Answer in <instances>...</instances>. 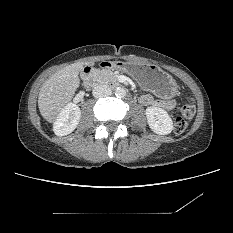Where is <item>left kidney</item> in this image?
Returning <instances> with one entry per match:
<instances>
[{
    "label": "left kidney",
    "mask_w": 233,
    "mask_h": 233,
    "mask_svg": "<svg viewBox=\"0 0 233 233\" xmlns=\"http://www.w3.org/2000/svg\"><path fill=\"white\" fill-rule=\"evenodd\" d=\"M145 114L153 132L160 135H168L172 132V119L164 109L155 106L148 107Z\"/></svg>",
    "instance_id": "1"
}]
</instances>
